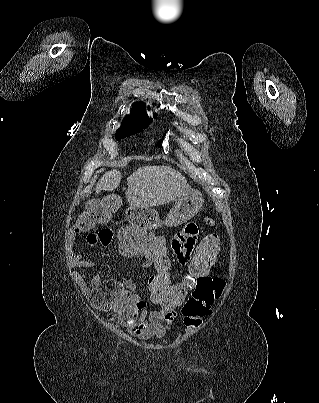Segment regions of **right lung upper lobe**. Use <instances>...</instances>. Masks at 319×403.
Listing matches in <instances>:
<instances>
[{
	"instance_id": "obj_1",
	"label": "right lung upper lobe",
	"mask_w": 319,
	"mask_h": 403,
	"mask_svg": "<svg viewBox=\"0 0 319 403\" xmlns=\"http://www.w3.org/2000/svg\"><path fill=\"white\" fill-rule=\"evenodd\" d=\"M156 116L157 114H154V117ZM124 119L135 122H143L145 120H149L150 118L146 113V107L143 103H134L132 105L131 115H127Z\"/></svg>"
}]
</instances>
